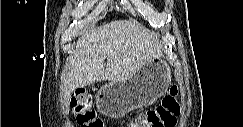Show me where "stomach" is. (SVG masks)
Masks as SVG:
<instances>
[{
	"label": "stomach",
	"mask_w": 243,
	"mask_h": 127,
	"mask_svg": "<svg viewBox=\"0 0 243 127\" xmlns=\"http://www.w3.org/2000/svg\"><path fill=\"white\" fill-rule=\"evenodd\" d=\"M170 81L168 63L164 58L155 57L127 79L104 84L96 95L97 108L110 118L123 117L166 94Z\"/></svg>",
	"instance_id": "0dacf381"
}]
</instances>
